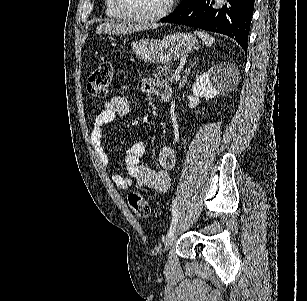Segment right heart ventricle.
I'll list each match as a JSON object with an SVG mask.
<instances>
[{
    "label": "right heart ventricle",
    "mask_w": 307,
    "mask_h": 301,
    "mask_svg": "<svg viewBox=\"0 0 307 301\" xmlns=\"http://www.w3.org/2000/svg\"><path fill=\"white\" fill-rule=\"evenodd\" d=\"M108 3H109V5H111L110 1H108ZM108 8H109V6H108ZM109 15H110V17H119L120 12H119V10H110Z\"/></svg>",
    "instance_id": "e07e8e85"
}]
</instances>
